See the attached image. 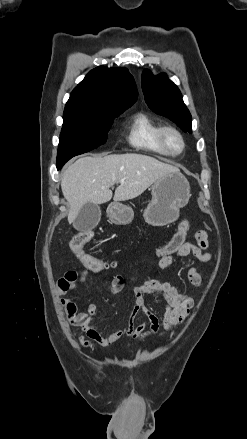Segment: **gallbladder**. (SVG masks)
Here are the masks:
<instances>
[{
  "label": "gallbladder",
  "instance_id": "gallbladder-1",
  "mask_svg": "<svg viewBox=\"0 0 247 439\" xmlns=\"http://www.w3.org/2000/svg\"><path fill=\"white\" fill-rule=\"evenodd\" d=\"M101 218V209L97 204L87 202L80 209L73 226L78 231H87L95 228Z\"/></svg>",
  "mask_w": 247,
  "mask_h": 439
}]
</instances>
